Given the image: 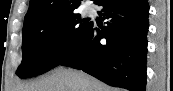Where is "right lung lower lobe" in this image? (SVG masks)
Masks as SVG:
<instances>
[{
	"instance_id": "obj_1",
	"label": "right lung lower lobe",
	"mask_w": 173,
	"mask_h": 91,
	"mask_svg": "<svg viewBox=\"0 0 173 91\" xmlns=\"http://www.w3.org/2000/svg\"><path fill=\"white\" fill-rule=\"evenodd\" d=\"M109 19L91 24L82 41L59 65L69 66L115 87L145 91L149 5L147 0H98Z\"/></svg>"
}]
</instances>
